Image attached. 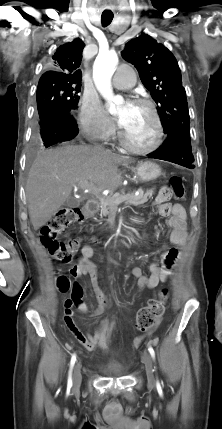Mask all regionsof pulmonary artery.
<instances>
[{
    "label": "pulmonary artery",
    "instance_id": "pulmonary-artery-1",
    "mask_svg": "<svg viewBox=\"0 0 222 429\" xmlns=\"http://www.w3.org/2000/svg\"><path fill=\"white\" fill-rule=\"evenodd\" d=\"M135 72L129 65H121L112 79L113 85L119 89H127L135 83Z\"/></svg>",
    "mask_w": 222,
    "mask_h": 429
}]
</instances>
